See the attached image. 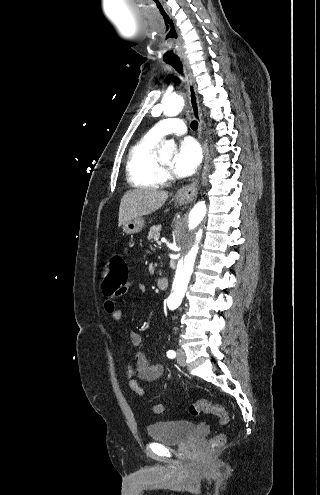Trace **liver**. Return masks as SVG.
<instances>
[{
  "mask_svg": "<svg viewBox=\"0 0 320 495\" xmlns=\"http://www.w3.org/2000/svg\"><path fill=\"white\" fill-rule=\"evenodd\" d=\"M167 198L166 191L157 189H134L126 192L120 202L118 226L136 217L157 211Z\"/></svg>",
  "mask_w": 320,
  "mask_h": 495,
  "instance_id": "obj_1",
  "label": "liver"
}]
</instances>
